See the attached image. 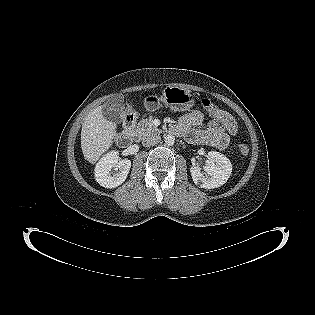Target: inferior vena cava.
Returning <instances> with one entry per match:
<instances>
[{"label": "inferior vena cava", "mask_w": 315, "mask_h": 315, "mask_svg": "<svg viewBox=\"0 0 315 315\" xmlns=\"http://www.w3.org/2000/svg\"><path fill=\"white\" fill-rule=\"evenodd\" d=\"M160 141H161V137L159 135L152 134L143 138L142 144L145 147H149V146L159 143Z\"/></svg>", "instance_id": "602c4592"}]
</instances>
